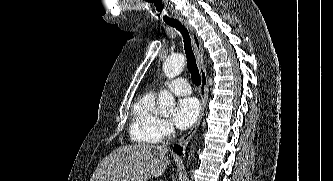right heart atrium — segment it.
I'll list each match as a JSON object with an SVG mask.
<instances>
[{"instance_id":"1","label":"right heart atrium","mask_w":333,"mask_h":181,"mask_svg":"<svg viewBox=\"0 0 333 181\" xmlns=\"http://www.w3.org/2000/svg\"><path fill=\"white\" fill-rule=\"evenodd\" d=\"M158 134L162 138L171 137L174 134V127L167 119H161L158 125Z\"/></svg>"}]
</instances>
